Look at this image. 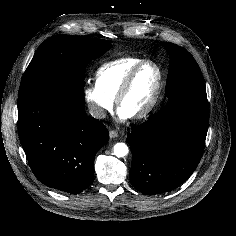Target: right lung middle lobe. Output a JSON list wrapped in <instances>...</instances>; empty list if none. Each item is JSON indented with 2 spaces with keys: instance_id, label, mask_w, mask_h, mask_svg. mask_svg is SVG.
<instances>
[{
  "instance_id": "obj_1",
  "label": "right lung middle lobe",
  "mask_w": 236,
  "mask_h": 236,
  "mask_svg": "<svg viewBox=\"0 0 236 236\" xmlns=\"http://www.w3.org/2000/svg\"><path fill=\"white\" fill-rule=\"evenodd\" d=\"M112 45L83 36L55 35L45 40L28 65L19 94L37 87H68L84 90L88 63L102 56Z\"/></svg>"
}]
</instances>
